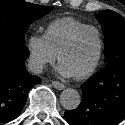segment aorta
<instances>
[{
	"label": "aorta",
	"instance_id": "1",
	"mask_svg": "<svg viewBox=\"0 0 125 125\" xmlns=\"http://www.w3.org/2000/svg\"><path fill=\"white\" fill-rule=\"evenodd\" d=\"M60 102L65 109L74 110L81 102L80 94L75 89L67 88L61 93Z\"/></svg>",
	"mask_w": 125,
	"mask_h": 125
}]
</instances>
